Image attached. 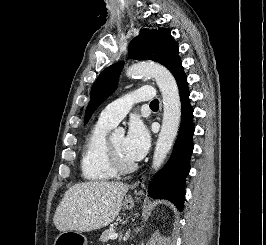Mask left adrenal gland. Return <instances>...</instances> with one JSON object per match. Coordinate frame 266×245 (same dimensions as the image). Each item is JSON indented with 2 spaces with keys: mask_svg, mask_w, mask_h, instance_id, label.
<instances>
[{
  "mask_svg": "<svg viewBox=\"0 0 266 245\" xmlns=\"http://www.w3.org/2000/svg\"><path fill=\"white\" fill-rule=\"evenodd\" d=\"M129 233H130V231H129ZM129 233H126V239H129V237H130Z\"/></svg>",
  "mask_w": 266,
  "mask_h": 245,
  "instance_id": "obj_1",
  "label": "left adrenal gland"
}]
</instances>
